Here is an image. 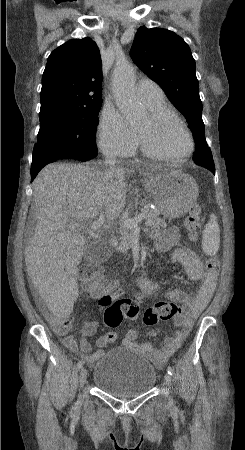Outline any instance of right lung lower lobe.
<instances>
[{
	"instance_id": "right-lung-lower-lobe-1",
	"label": "right lung lower lobe",
	"mask_w": 245,
	"mask_h": 450,
	"mask_svg": "<svg viewBox=\"0 0 245 450\" xmlns=\"http://www.w3.org/2000/svg\"><path fill=\"white\" fill-rule=\"evenodd\" d=\"M97 152H66L62 154H57L42 160L36 166H31V181L34 180L38 172L48 163L53 162L58 159H76L81 161H87L92 159Z\"/></svg>"
}]
</instances>
